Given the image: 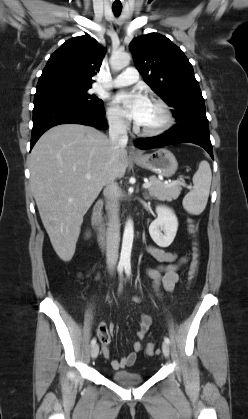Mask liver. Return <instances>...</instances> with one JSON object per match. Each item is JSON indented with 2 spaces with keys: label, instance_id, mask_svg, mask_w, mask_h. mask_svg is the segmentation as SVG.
<instances>
[{
  "label": "liver",
  "instance_id": "obj_1",
  "mask_svg": "<svg viewBox=\"0 0 248 419\" xmlns=\"http://www.w3.org/2000/svg\"><path fill=\"white\" fill-rule=\"evenodd\" d=\"M127 166L126 149L112 150L110 139L90 126L58 125L37 141L30 154V187L51 244L63 261L75 253L87 210L110 177L122 178Z\"/></svg>",
  "mask_w": 248,
  "mask_h": 419
}]
</instances>
